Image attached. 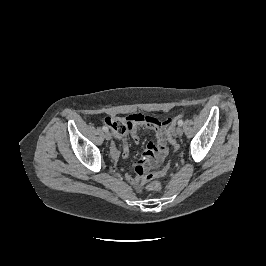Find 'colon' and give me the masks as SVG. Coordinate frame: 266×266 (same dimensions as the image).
I'll return each mask as SVG.
<instances>
[{
    "label": "colon",
    "instance_id": "1",
    "mask_svg": "<svg viewBox=\"0 0 266 266\" xmlns=\"http://www.w3.org/2000/svg\"><path fill=\"white\" fill-rule=\"evenodd\" d=\"M167 139L171 146L174 149L178 148L177 141L175 139L174 135V124L170 125L166 132ZM168 170V166L162 169L161 171L157 172H151L144 175L142 178V185L145 186V188L149 191H160L161 190V184L156 180L157 178L163 177Z\"/></svg>",
    "mask_w": 266,
    "mask_h": 266
}]
</instances>
